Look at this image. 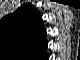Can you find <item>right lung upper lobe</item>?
Here are the masks:
<instances>
[{
  "instance_id": "cb5924a9",
  "label": "right lung upper lobe",
  "mask_w": 80,
  "mask_h": 60,
  "mask_svg": "<svg viewBox=\"0 0 80 60\" xmlns=\"http://www.w3.org/2000/svg\"><path fill=\"white\" fill-rule=\"evenodd\" d=\"M0 38L6 51L22 57L39 51L47 44L41 15L29 3L0 21Z\"/></svg>"
}]
</instances>
